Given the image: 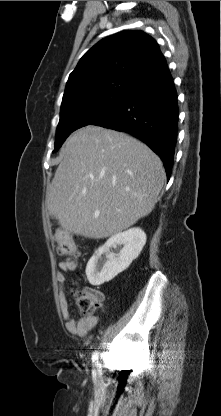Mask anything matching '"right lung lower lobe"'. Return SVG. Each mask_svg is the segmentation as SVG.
Here are the masks:
<instances>
[{
    "instance_id": "obj_1",
    "label": "right lung lower lobe",
    "mask_w": 221,
    "mask_h": 416,
    "mask_svg": "<svg viewBox=\"0 0 221 416\" xmlns=\"http://www.w3.org/2000/svg\"><path fill=\"white\" fill-rule=\"evenodd\" d=\"M178 102L174 82L167 77L131 91L105 118L92 125L127 132L145 142L171 175L177 139Z\"/></svg>"
}]
</instances>
